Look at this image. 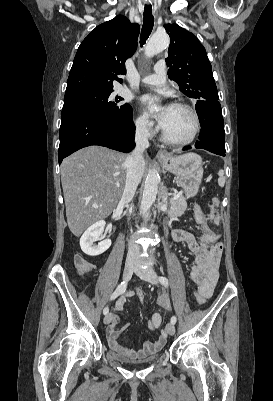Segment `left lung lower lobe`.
<instances>
[{"instance_id": "1", "label": "left lung lower lobe", "mask_w": 273, "mask_h": 401, "mask_svg": "<svg viewBox=\"0 0 273 401\" xmlns=\"http://www.w3.org/2000/svg\"><path fill=\"white\" fill-rule=\"evenodd\" d=\"M195 108L202 127L195 148H203L225 156L224 120L220 103L213 100H198ZM190 148L185 147L183 150Z\"/></svg>"}]
</instances>
